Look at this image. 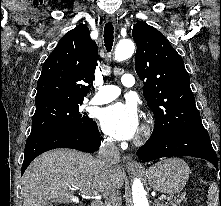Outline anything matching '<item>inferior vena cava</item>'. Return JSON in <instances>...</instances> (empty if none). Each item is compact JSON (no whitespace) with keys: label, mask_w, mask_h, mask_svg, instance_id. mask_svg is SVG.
<instances>
[{"label":"inferior vena cava","mask_w":221,"mask_h":206,"mask_svg":"<svg viewBox=\"0 0 221 206\" xmlns=\"http://www.w3.org/2000/svg\"><path fill=\"white\" fill-rule=\"evenodd\" d=\"M98 161L106 168L115 171L119 167L120 152L113 140L105 139L101 145ZM105 206H122L120 191L113 189L104 195Z\"/></svg>","instance_id":"1"}]
</instances>
